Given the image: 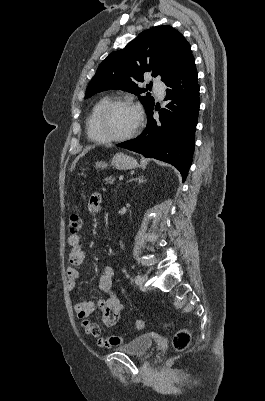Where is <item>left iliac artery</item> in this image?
<instances>
[{"label": "left iliac artery", "instance_id": "44dca946", "mask_svg": "<svg viewBox=\"0 0 265 401\" xmlns=\"http://www.w3.org/2000/svg\"><path fill=\"white\" fill-rule=\"evenodd\" d=\"M135 283H136V284H139V283H140V275H137V276L135 277Z\"/></svg>", "mask_w": 265, "mask_h": 401}]
</instances>
